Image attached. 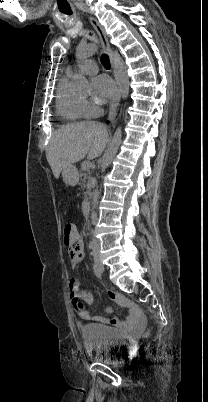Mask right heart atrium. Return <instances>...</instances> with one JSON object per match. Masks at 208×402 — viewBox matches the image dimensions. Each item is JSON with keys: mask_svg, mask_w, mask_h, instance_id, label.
<instances>
[{"mask_svg": "<svg viewBox=\"0 0 208 402\" xmlns=\"http://www.w3.org/2000/svg\"><path fill=\"white\" fill-rule=\"evenodd\" d=\"M84 116L88 120L98 118L102 113V102L89 96L82 97Z\"/></svg>", "mask_w": 208, "mask_h": 402, "instance_id": "obj_1", "label": "right heart atrium"}]
</instances>
